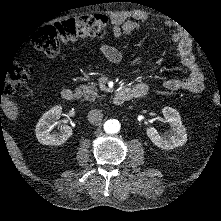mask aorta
Here are the masks:
<instances>
[{
  "label": "aorta",
  "mask_w": 221,
  "mask_h": 221,
  "mask_svg": "<svg viewBox=\"0 0 221 221\" xmlns=\"http://www.w3.org/2000/svg\"><path fill=\"white\" fill-rule=\"evenodd\" d=\"M121 124L117 119H109L104 123V130L107 134H115L120 131Z\"/></svg>",
  "instance_id": "aorta-1"
}]
</instances>
